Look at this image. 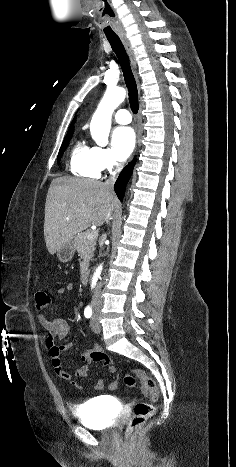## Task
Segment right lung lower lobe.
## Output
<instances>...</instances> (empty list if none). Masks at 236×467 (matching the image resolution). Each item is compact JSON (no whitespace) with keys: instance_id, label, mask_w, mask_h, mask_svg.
<instances>
[{"instance_id":"1","label":"right lung lower lobe","mask_w":236,"mask_h":467,"mask_svg":"<svg viewBox=\"0 0 236 467\" xmlns=\"http://www.w3.org/2000/svg\"><path fill=\"white\" fill-rule=\"evenodd\" d=\"M133 167H134V160L132 162H130L124 169L123 171L121 172V174L119 175L115 185H114V188H115V192L118 196V198L122 201L123 199V196H124V191H125V187H126V184L132 174V171H133Z\"/></svg>"}]
</instances>
